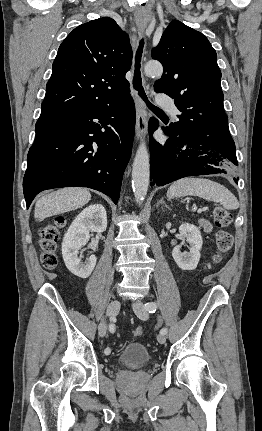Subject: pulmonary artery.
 <instances>
[{"mask_svg": "<svg viewBox=\"0 0 262 431\" xmlns=\"http://www.w3.org/2000/svg\"><path fill=\"white\" fill-rule=\"evenodd\" d=\"M157 104L158 106L163 107L168 111L173 112L174 114H177L173 101L170 97L163 94H159L157 98Z\"/></svg>", "mask_w": 262, "mask_h": 431, "instance_id": "1", "label": "pulmonary artery"}]
</instances>
